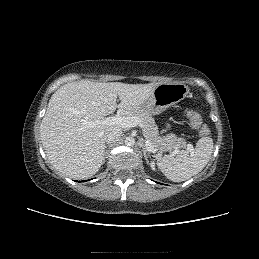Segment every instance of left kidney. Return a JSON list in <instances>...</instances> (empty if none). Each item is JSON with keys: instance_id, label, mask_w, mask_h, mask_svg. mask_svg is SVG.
<instances>
[{"instance_id": "obj_1", "label": "left kidney", "mask_w": 259, "mask_h": 259, "mask_svg": "<svg viewBox=\"0 0 259 259\" xmlns=\"http://www.w3.org/2000/svg\"><path fill=\"white\" fill-rule=\"evenodd\" d=\"M150 165V167H151V169L153 170V171H155V163H154V161H151V163L149 164Z\"/></svg>"}]
</instances>
